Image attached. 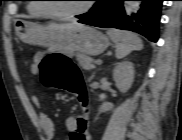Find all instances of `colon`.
Wrapping results in <instances>:
<instances>
[{
    "mask_svg": "<svg viewBox=\"0 0 182 140\" xmlns=\"http://www.w3.org/2000/svg\"><path fill=\"white\" fill-rule=\"evenodd\" d=\"M42 81L71 93L79 106L76 117V129L70 133L71 140H87L89 96L88 90L79 67L67 57L52 56L43 59L39 65Z\"/></svg>",
    "mask_w": 182,
    "mask_h": 140,
    "instance_id": "1",
    "label": "colon"
}]
</instances>
